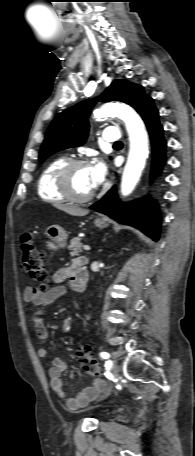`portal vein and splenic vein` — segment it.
I'll return each mask as SVG.
<instances>
[{"label": "portal vein and splenic vein", "mask_w": 195, "mask_h": 456, "mask_svg": "<svg viewBox=\"0 0 195 456\" xmlns=\"http://www.w3.org/2000/svg\"><path fill=\"white\" fill-rule=\"evenodd\" d=\"M83 249L86 250V251H89L91 248H90V246H88V245H84V246H83Z\"/></svg>", "instance_id": "1"}]
</instances>
